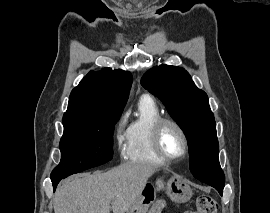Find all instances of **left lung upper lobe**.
Returning <instances> with one entry per match:
<instances>
[{"label":"left lung upper lobe","instance_id":"obj_1","mask_svg":"<svg viewBox=\"0 0 270 213\" xmlns=\"http://www.w3.org/2000/svg\"><path fill=\"white\" fill-rule=\"evenodd\" d=\"M141 84L159 97L171 117L188 135L190 168L197 179L223 191L225 177L218 160L214 115L207 94L183 68L160 65L147 71Z\"/></svg>","mask_w":270,"mask_h":213}]
</instances>
